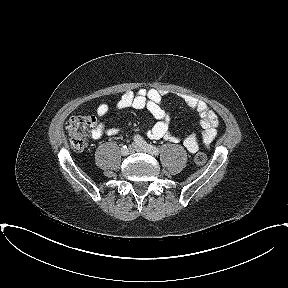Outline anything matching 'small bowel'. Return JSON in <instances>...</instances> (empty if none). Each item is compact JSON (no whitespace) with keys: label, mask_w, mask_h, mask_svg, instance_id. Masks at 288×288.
<instances>
[{"label":"small bowel","mask_w":288,"mask_h":288,"mask_svg":"<svg viewBox=\"0 0 288 288\" xmlns=\"http://www.w3.org/2000/svg\"><path fill=\"white\" fill-rule=\"evenodd\" d=\"M164 95L165 91L156 88H142L138 91L128 90L122 94L114 107L117 110L128 108L148 110L157 122L147 131V136L151 139H165L177 143L182 139L170 132L171 116L162 107ZM181 98L189 108L196 111L200 116V124L202 127L200 138L197 134L190 133L182 140L186 149L191 154H194L200 144L209 146L216 139L219 121L216 113L205 102L187 94L182 95ZM109 110L110 106L102 103L97 107L96 114L102 118L108 115ZM119 133V128L107 127L105 124L100 123L93 130L92 137L97 139L103 135L114 136Z\"/></svg>","instance_id":"1"}]
</instances>
